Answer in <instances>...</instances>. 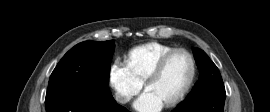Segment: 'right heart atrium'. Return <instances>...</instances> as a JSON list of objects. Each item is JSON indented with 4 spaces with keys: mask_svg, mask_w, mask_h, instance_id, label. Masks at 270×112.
<instances>
[{
    "mask_svg": "<svg viewBox=\"0 0 270 112\" xmlns=\"http://www.w3.org/2000/svg\"><path fill=\"white\" fill-rule=\"evenodd\" d=\"M108 84L114 92L115 100L122 105L129 103L142 89V84L120 61H115L109 67Z\"/></svg>",
    "mask_w": 270,
    "mask_h": 112,
    "instance_id": "right-heart-atrium-1",
    "label": "right heart atrium"
}]
</instances>
